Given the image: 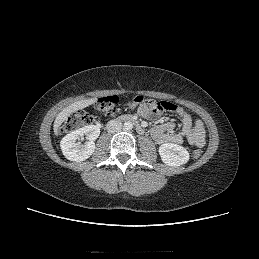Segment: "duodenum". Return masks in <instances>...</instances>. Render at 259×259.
<instances>
[{
  "label": "duodenum",
  "mask_w": 259,
  "mask_h": 259,
  "mask_svg": "<svg viewBox=\"0 0 259 259\" xmlns=\"http://www.w3.org/2000/svg\"><path fill=\"white\" fill-rule=\"evenodd\" d=\"M118 119L120 121L134 123L136 125L137 131L139 133H143V131H144L143 127L138 123L137 119L133 115L125 114V115L120 116Z\"/></svg>",
  "instance_id": "1"
}]
</instances>
